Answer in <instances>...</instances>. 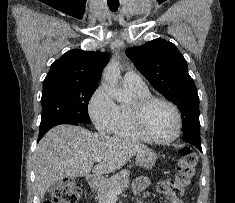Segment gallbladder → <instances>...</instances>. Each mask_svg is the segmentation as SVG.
Listing matches in <instances>:
<instances>
[{
	"label": "gallbladder",
	"instance_id": "obj_1",
	"mask_svg": "<svg viewBox=\"0 0 235 203\" xmlns=\"http://www.w3.org/2000/svg\"><path fill=\"white\" fill-rule=\"evenodd\" d=\"M63 184L62 180H58L56 183L52 184L49 189L48 192H53L54 190L58 189L60 187V185Z\"/></svg>",
	"mask_w": 235,
	"mask_h": 203
}]
</instances>
